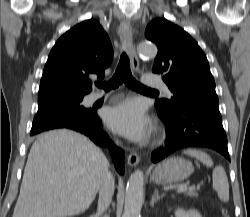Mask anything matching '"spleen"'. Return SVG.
I'll return each instance as SVG.
<instances>
[{
    "instance_id": "spleen-1",
    "label": "spleen",
    "mask_w": 250,
    "mask_h": 217,
    "mask_svg": "<svg viewBox=\"0 0 250 217\" xmlns=\"http://www.w3.org/2000/svg\"><path fill=\"white\" fill-rule=\"evenodd\" d=\"M184 153L197 158L207 167L213 166V160L205 152L197 149H187ZM213 189L217 192L218 197L223 202L229 201V183L226 172L222 166H216L212 173Z\"/></svg>"
}]
</instances>
